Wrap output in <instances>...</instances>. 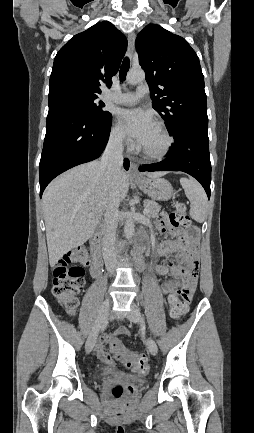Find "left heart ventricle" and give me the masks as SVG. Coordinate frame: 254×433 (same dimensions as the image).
Returning <instances> with one entry per match:
<instances>
[{
  "label": "left heart ventricle",
  "instance_id": "obj_1",
  "mask_svg": "<svg viewBox=\"0 0 254 433\" xmlns=\"http://www.w3.org/2000/svg\"><path fill=\"white\" fill-rule=\"evenodd\" d=\"M164 144H165L164 136L161 134L159 129L156 126H154L150 134L141 144V147L149 151L156 152L161 150Z\"/></svg>",
  "mask_w": 254,
  "mask_h": 433
}]
</instances>
